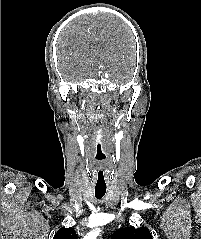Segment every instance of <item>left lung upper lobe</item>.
<instances>
[{
  "mask_svg": "<svg viewBox=\"0 0 201 239\" xmlns=\"http://www.w3.org/2000/svg\"><path fill=\"white\" fill-rule=\"evenodd\" d=\"M111 239H153L148 228H120L114 232Z\"/></svg>",
  "mask_w": 201,
  "mask_h": 239,
  "instance_id": "obj_1",
  "label": "left lung upper lobe"
}]
</instances>
